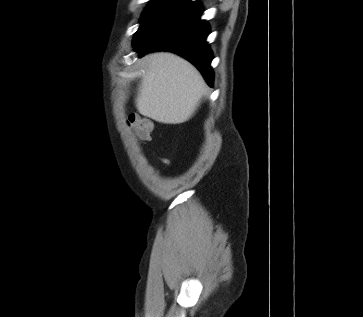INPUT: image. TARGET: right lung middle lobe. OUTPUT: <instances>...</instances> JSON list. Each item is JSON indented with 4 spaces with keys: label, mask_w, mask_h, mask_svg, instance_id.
Returning a JSON list of instances; mask_svg holds the SVG:
<instances>
[{
    "label": "right lung middle lobe",
    "mask_w": 363,
    "mask_h": 317,
    "mask_svg": "<svg viewBox=\"0 0 363 317\" xmlns=\"http://www.w3.org/2000/svg\"><path fill=\"white\" fill-rule=\"evenodd\" d=\"M183 2L185 0H154L151 2L142 16L141 26L135 34L134 41L147 31L159 18Z\"/></svg>",
    "instance_id": "obj_1"
}]
</instances>
